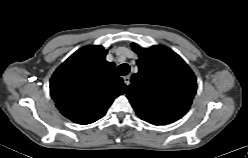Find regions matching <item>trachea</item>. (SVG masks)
I'll list each match as a JSON object with an SVG mask.
<instances>
[{"label": "trachea", "instance_id": "1", "mask_svg": "<svg viewBox=\"0 0 248 158\" xmlns=\"http://www.w3.org/2000/svg\"><path fill=\"white\" fill-rule=\"evenodd\" d=\"M130 72V66L126 63H123L121 64L119 67H118V73L119 75L121 76H125L127 75L128 73Z\"/></svg>", "mask_w": 248, "mask_h": 158}]
</instances>
